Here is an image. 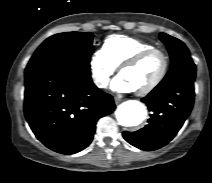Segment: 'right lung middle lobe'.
<instances>
[{"mask_svg":"<svg viewBox=\"0 0 212 183\" xmlns=\"http://www.w3.org/2000/svg\"><path fill=\"white\" fill-rule=\"evenodd\" d=\"M93 34L59 33L47 38L35 51L26 68L69 67L90 70Z\"/></svg>","mask_w":212,"mask_h":183,"instance_id":"1","label":"right lung middle lobe"}]
</instances>
